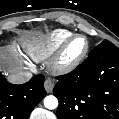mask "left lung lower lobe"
Here are the masks:
<instances>
[{
  "instance_id": "0a47b994",
  "label": "left lung lower lobe",
  "mask_w": 119,
  "mask_h": 119,
  "mask_svg": "<svg viewBox=\"0 0 119 119\" xmlns=\"http://www.w3.org/2000/svg\"><path fill=\"white\" fill-rule=\"evenodd\" d=\"M53 89L58 119H119V49L104 40Z\"/></svg>"
}]
</instances>
